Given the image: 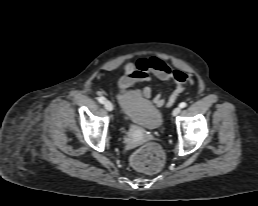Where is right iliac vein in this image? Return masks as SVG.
<instances>
[{
  "label": "right iliac vein",
  "instance_id": "63e3f726",
  "mask_svg": "<svg viewBox=\"0 0 258 206\" xmlns=\"http://www.w3.org/2000/svg\"><path fill=\"white\" fill-rule=\"evenodd\" d=\"M104 107L108 111H112L113 110V104L110 101H105L104 102Z\"/></svg>",
  "mask_w": 258,
  "mask_h": 206
}]
</instances>
